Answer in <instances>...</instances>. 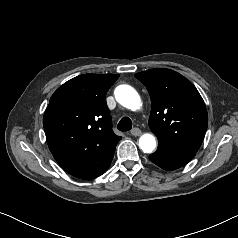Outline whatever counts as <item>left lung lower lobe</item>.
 <instances>
[{
    "label": "left lung lower lobe",
    "mask_w": 238,
    "mask_h": 238,
    "mask_svg": "<svg viewBox=\"0 0 238 238\" xmlns=\"http://www.w3.org/2000/svg\"><path fill=\"white\" fill-rule=\"evenodd\" d=\"M194 156L195 153L159 144L157 151L149 155V159L162 169L171 171L186 165Z\"/></svg>",
    "instance_id": "left-lung-lower-lobe-1"
}]
</instances>
